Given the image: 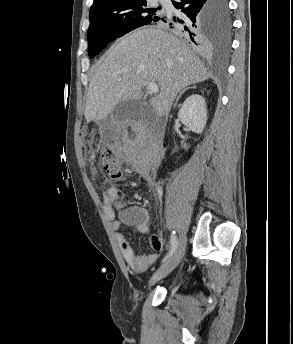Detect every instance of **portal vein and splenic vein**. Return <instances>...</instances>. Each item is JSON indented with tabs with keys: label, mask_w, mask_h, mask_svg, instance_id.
<instances>
[{
	"label": "portal vein and splenic vein",
	"mask_w": 293,
	"mask_h": 344,
	"mask_svg": "<svg viewBox=\"0 0 293 344\" xmlns=\"http://www.w3.org/2000/svg\"><path fill=\"white\" fill-rule=\"evenodd\" d=\"M149 93H157L159 91L158 85L155 82H149L147 85Z\"/></svg>",
	"instance_id": "obj_1"
}]
</instances>
